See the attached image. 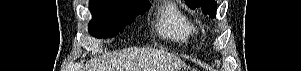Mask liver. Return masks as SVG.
I'll return each mask as SVG.
<instances>
[{"mask_svg":"<svg viewBox=\"0 0 301 71\" xmlns=\"http://www.w3.org/2000/svg\"><path fill=\"white\" fill-rule=\"evenodd\" d=\"M185 63L176 56L155 49H140L98 60L86 71H177Z\"/></svg>","mask_w":301,"mask_h":71,"instance_id":"liver-1","label":"liver"}]
</instances>
